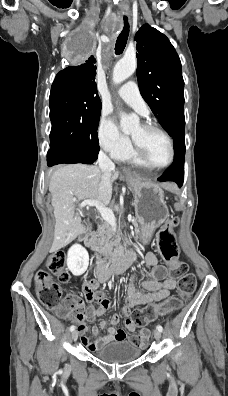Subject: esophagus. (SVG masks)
Returning <instances> with one entry per match:
<instances>
[{"mask_svg":"<svg viewBox=\"0 0 228 396\" xmlns=\"http://www.w3.org/2000/svg\"><path fill=\"white\" fill-rule=\"evenodd\" d=\"M122 12H123L124 14H127V13H128V9H123ZM122 170H123V172L126 173V174H131V171L128 170V169H126V168H123Z\"/></svg>","mask_w":228,"mask_h":396,"instance_id":"esophagus-1","label":"esophagus"}]
</instances>
